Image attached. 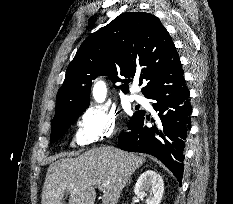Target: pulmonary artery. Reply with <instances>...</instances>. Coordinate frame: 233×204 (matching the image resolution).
I'll use <instances>...</instances> for the list:
<instances>
[{"label":"pulmonary artery","mask_w":233,"mask_h":204,"mask_svg":"<svg viewBox=\"0 0 233 204\" xmlns=\"http://www.w3.org/2000/svg\"><path fill=\"white\" fill-rule=\"evenodd\" d=\"M129 98L131 101H137V102L143 101V97L139 95L138 93H132Z\"/></svg>","instance_id":"1"}]
</instances>
